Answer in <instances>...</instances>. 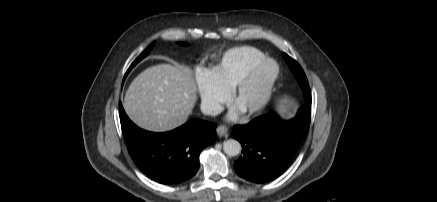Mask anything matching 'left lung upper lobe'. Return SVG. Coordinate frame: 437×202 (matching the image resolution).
I'll return each instance as SVG.
<instances>
[{
    "label": "left lung upper lobe",
    "instance_id": "1",
    "mask_svg": "<svg viewBox=\"0 0 437 202\" xmlns=\"http://www.w3.org/2000/svg\"><path fill=\"white\" fill-rule=\"evenodd\" d=\"M283 57L286 60V62L288 63L291 70L293 71V73H294L295 77L297 78V80L299 81L300 85L303 87L304 95L306 98L305 105L311 106L310 88H309V84H308V81H307V78H306V75H305L303 69L294 59L289 57L287 54L284 53Z\"/></svg>",
    "mask_w": 437,
    "mask_h": 202
}]
</instances>
